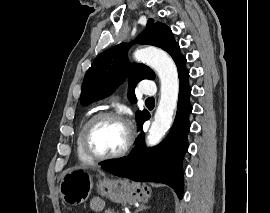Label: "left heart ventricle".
<instances>
[{"instance_id":"b2bd125f","label":"left heart ventricle","mask_w":270,"mask_h":213,"mask_svg":"<svg viewBox=\"0 0 270 213\" xmlns=\"http://www.w3.org/2000/svg\"><path fill=\"white\" fill-rule=\"evenodd\" d=\"M127 141V127L121 121L106 119L99 122L90 135L91 149L100 155L121 150Z\"/></svg>"}]
</instances>
